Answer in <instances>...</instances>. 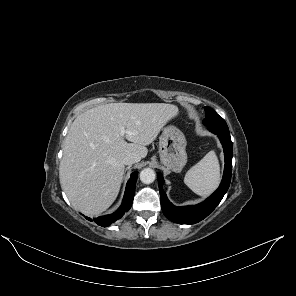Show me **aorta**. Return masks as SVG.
Here are the masks:
<instances>
[{"instance_id":"762f6f07","label":"aorta","mask_w":296,"mask_h":296,"mask_svg":"<svg viewBox=\"0 0 296 296\" xmlns=\"http://www.w3.org/2000/svg\"><path fill=\"white\" fill-rule=\"evenodd\" d=\"M156 178L155 171L151 168H145L140 172V180L144 184H151Z\"/></svg>"}]
</instances>
